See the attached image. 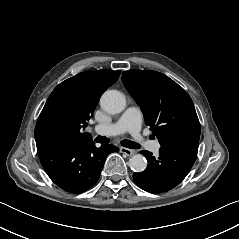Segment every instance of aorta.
Segmentation results:
<instances>
[{"instance_id":"aorta-1","label":"aorta","mask_w":239,"mask_h":239,"mask_svg":"<svg viewBox=\"0 0 239 239\" xmlns=\"http://www.w3.org/2000/svg\"><path fill=\"white\" fill-rule=\"evenodd\" d=\"M102 109L110 114L122 112L126 107V98L123 93L118 90H107L103 93L100 99ZM129 165L134 172H142L147 167L146 158L137 154L129 159Z\"/></svg>"}]
</instances>
